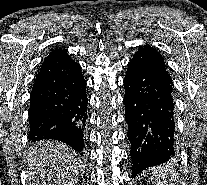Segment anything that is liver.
I'll return each mask as SVG.
<instances>
[{"label":"liver","instance_id":"obj_1","mask_svg":"<svg viewBox=\"0 0 207 185\" xmlns=\"http://www.w3.org/2000/svg\"><path fill=\"white\" fill-rule=\"evenodd\" d=\"M81 157L60 141H38L31 147L26 165L28 185L44 179L45 185H75L84 175Z\"/></svg>","mask_w":207,"mask_h":185}]
</instances>
